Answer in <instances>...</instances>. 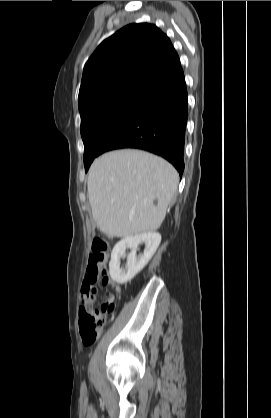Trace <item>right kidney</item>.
I'll return each mask as SVG.
<instances>
[{"label":"right kidney","instance_id":"right-kidney-1","mask_svg":"<svg viewBox=\"0 0 271 418\" xmlns=\"http://www.w3.org/2000/svg\"><path fill=\"white\" fill-rule=\"evenodd\" d=\"M160 242L161 235L157 232L142 233L123 238L114 246L111 253L109 262L111 278L119 284L130 281L146 266L156 252ZM141 243L145 244V249L143 254L137 256L136 252ZM127 248H130L131 252L127 257L126 268H120V259L125 257Z\"/></svg>","mask_w":271,"mask_h":418}]
</instances>
